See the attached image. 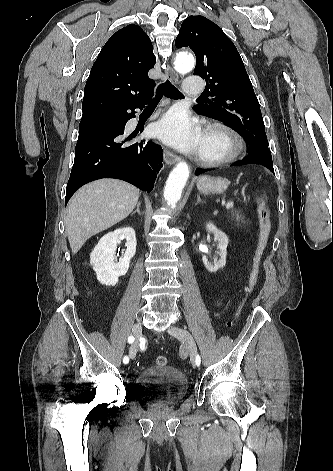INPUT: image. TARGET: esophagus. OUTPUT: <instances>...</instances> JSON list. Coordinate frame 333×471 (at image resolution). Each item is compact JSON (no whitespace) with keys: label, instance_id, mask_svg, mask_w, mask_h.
I'll list each match as a JSON object with an SVG mask.
<instances>
[{"label":"esophagus","instance_id":"1","mask_svg":"<svg viewBox=\"0 0 333 471\" xmlns=\"http://www.w3.org/2000/svg\"><path fill=\"white\" fill-rule=\"evenodd\" d=\"M165 75L170 81H172L174 83H176L178 81V74L170 66H168L167 69L165 70ZM164 161L166 162V164L172 165V164L180 161V157L178 155L174 154L173 152H171L167 149H164Z\"/></svg>","mask_w":333,"mask_h":471}]
</instances>
